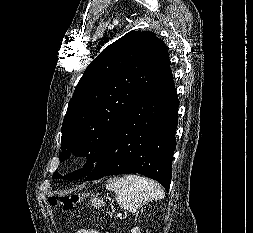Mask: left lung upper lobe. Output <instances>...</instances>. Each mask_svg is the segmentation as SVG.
Returning a JSON list of instances; mask_svg holds the SVG:
<instances>
[{
  "instance_id": "5c2ea615",
  "label": "left lung upper lobe",
  "mask_w": 253,
  "mask_h": 233,
  "mask_svg": "<svg viewBox=\"0 0 253 233\" xmlns=\"http://www.w3.org/2000/svg\"><path fill=\"white\" fill-rule=\"evenodd\" d=\"M170 65L155 33L130 31L105 48L86 68L63 120L60 159L88 155L84 168L63 177H86L134 104ZM53 178H60L57 171Z\"/></svg>"
}]
</instances>
